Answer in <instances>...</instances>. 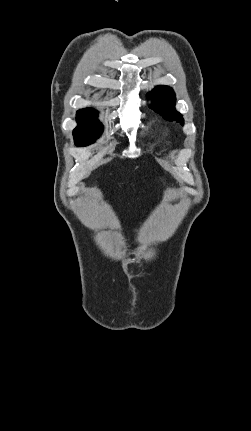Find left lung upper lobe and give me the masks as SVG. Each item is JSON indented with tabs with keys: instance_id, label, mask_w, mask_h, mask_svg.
<instances>
[{
	"instance_id": "left-lung-upper-lobe-1",
	"label": "left lung upper lobe",
	"mask_w": 251,
	"mask_h": 431,
	"mask_svg": "<svg viewBox=\"0 0 251 431\" xmlns=\"http://www.w3.org/2000/svg\"><path fill=\"white\" fill-rule=\"evenodd\" d=\"M148 97L153 102L154 110L162 115L166 120H176L182 125L184 124L182 115L175 110L176 99L172 88L168 86H158L150 92Z\"/></svg>"
}]
</instances>
